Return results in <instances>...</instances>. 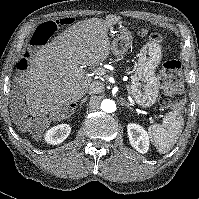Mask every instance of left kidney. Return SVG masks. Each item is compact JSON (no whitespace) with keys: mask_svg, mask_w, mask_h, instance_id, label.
<instances>
[{"mask_svg":"<svg viewBox=\"0 0 199 199\" xmlns=\"http://www.w3.org/2000/svg\"><path fill=\"white\" fill-rule=\"evenodd\" d=\"M127 132L131 146L139 153H147L149 150V136L145 129L138 124L130 123L127 125Z\"/></svg>","mask_w":199,"mask_h":199,"instance_id":"obj_1","label":"left kidney"}]
</instances>
